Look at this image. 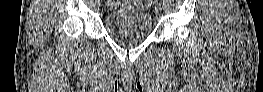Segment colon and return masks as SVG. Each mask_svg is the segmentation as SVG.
Here are the masks:
<instances>
[{"label": "colon", "mask_w": 263, "mask_h": 92, "mask_svg": "<svg viewBox=\"0 0 263 92\" xmlns=\"http://www.w3.org/2000/svg\"><path fill=\"white\" fill-rule=\"evenodd\" d=\"M144 2L147 3V4H150V3L155 2V1L149 0V1H144Z\"/></svg>", "instance_id": "5ec220e1"}]
</instances>
